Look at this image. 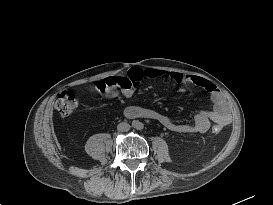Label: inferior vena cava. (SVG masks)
I'll return each instance as SVG.
<instances>
[{
  "mask_svg": "<svg viewBox=\"0 0 273 205\" xmlns=\"http://www.w3.org/2000/svg\"><path fill=\"white\" fill-rule=\"evenodd\" d=\"M130 129V125L126 122H121L117 125V130L119 132H126V131H129Z\"/></svg>",
  "mask_w": 273,
  "mask_h": 205,
  "instance_id": "1",
  "label": "inferior vena cava"
}]
</instances>
